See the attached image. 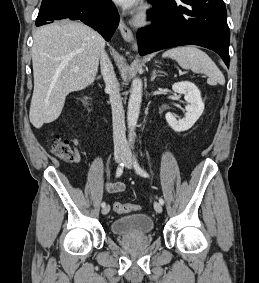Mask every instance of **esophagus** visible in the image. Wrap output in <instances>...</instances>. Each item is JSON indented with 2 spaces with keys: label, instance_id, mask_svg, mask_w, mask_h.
Returning <instances> with one entry per match:
<instances>
[{
  "label": "esophagus",
  "instance_id": "1",
  "mask_svg": "<svg viewBox=\"0 0 259 283\" xmlns=\"http://www.w3.org/2000/svg\"><path fill=\"white\" fill-rule=\"evenodd\" d=\"M119 30L121 32L122 37L124 38V40L126 42H129L132 44V47L134 50H137V44L134 41V36L133 33L131 31V29L125 24V22L123 21V19L120 20L119 23Z\"/></svg>",
  "mask_w": 259,
  "mask_h": 283
}]
</instances>
